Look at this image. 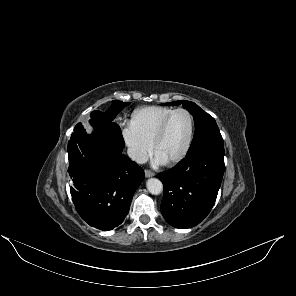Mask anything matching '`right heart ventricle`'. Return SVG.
<instances>
[{
	"label": "right heart ventricle",
	"instance_id": "obj_1",
	"mask_svg": "<svg viewBox=\"0 0 296 296\" xmlns=\"http://www.w3.org/2000/svg\"><path fill=\"white\" fill-rule=\"evenodd\" d=\"M173 110L165 106L138 109L132 115L130 127L144 142L151 145L160 124Z\"/></svg>",
	"mask_w": 296,
	"mask_h": 296
}]
</instances>
